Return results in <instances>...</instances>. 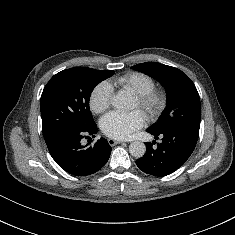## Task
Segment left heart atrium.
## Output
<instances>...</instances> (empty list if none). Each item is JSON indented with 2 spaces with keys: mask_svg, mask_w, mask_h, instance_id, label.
<instances>
[{
  "mask_svg": "<svg viewBox=\"0 0 235 235\" xmlns=\"http://www.w3.org/2000/svg\"><path fill=\"white\" fill-rule=\"evenodd\" d=\"M146 122V116L141 110L131 112L112 111L100 121L102 132L115 139H128Z\"/></svg>",
  "mask_w": 235,
  "mask_h": 235,
  "instance_id": "left-heart-atrium-1",
  "label": "left heart atrium"
}]
</instances>
